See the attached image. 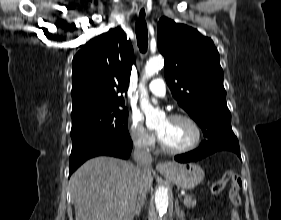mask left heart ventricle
I'll return each instance as SVG.
<instances>
[{
  "label": "left heart ventricle",
  "mask_w": 281,
  "mask_h": 220,
  "mask_svg": "<svg viewBox=\"0 0 281 220\" xmlns=\"http://www.w3.org/2000/svg\"><path fill=\"white\" fill-rule=\"evenodd\" d=\"M162 141L170 148L178 149L189 146L195 138L192 126L183 120H163L157 127Z\"/></svg>",
  "instance_id": "1"
}]
</instances>
